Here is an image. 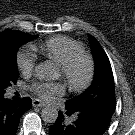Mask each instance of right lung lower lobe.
Returning a JSON list of instances; mask_svg holds the SVG:
<instances>
[{
	"instance_id": "obj_1",
	"label": "right lung lower lobe",
	"mask_w": 135,
	"mask_h": 135,
	"mask_svg": "<svg viewBox=\"0 0 135 135\" xmlns=\"http://www.w3.org/2000/svg\"><path fill=\"white\" fill-rule=\"evenodd\" d=\"M31 107L29 97L12 101L0 95V135H15L20 117Z\"/></svg>"
}]
</instances>
